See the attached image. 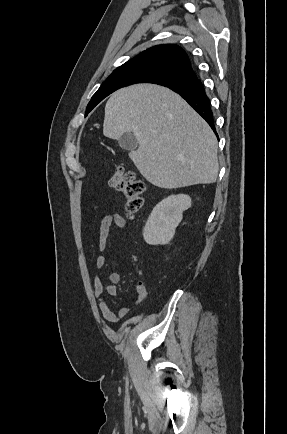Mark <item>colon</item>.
Returning a JSON list of instances; mask_svg holds the SVG:
<instances>
[{
    "instance_id": "colon-1",
    "label": "colon",
    "mask_w": 287,
    "mask_h": 434,
    "mask_svg": "<svg viewBox=\"0 0 287 434\" xmlns=\"http://www.w3.org/2000/svg\"><path fill=\"white\" fill-rule=\"evenodd\" d=\"M107 181L110 187L123 194L127 215L135 216L144 205V182L137 179L134 172L126 171L124 168L116 169Z\"/></svg>"
}]
</instances>
